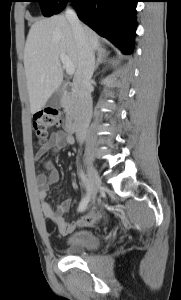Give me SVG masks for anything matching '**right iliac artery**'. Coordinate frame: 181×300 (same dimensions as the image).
Wrapping results in <instances>:
<instances>
[{"mask_svg": "<svg viewBox=\"0 0 181 300\" xmlns=\"http://www.w3.org/2000/svg\"><path fill=\"white\" fill-rule=\"evenodd\" d=\"M79 175H80L81 179L83 180L85 188L87 190V194L84 197V199L82 200V202L80 203L79 208H78V211L82 212V211H84L86 209L87 204L89 202V189H90V186H89V181L87 180V178L84 175V173L81 172Z\"/></svg>", "mask_w": 181, "mask_h": 300, "instance_id": "right-iliac-artery-1", "label": "right iliac artery"}]
</instances>
